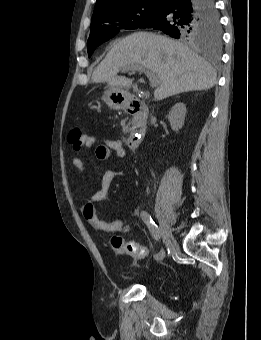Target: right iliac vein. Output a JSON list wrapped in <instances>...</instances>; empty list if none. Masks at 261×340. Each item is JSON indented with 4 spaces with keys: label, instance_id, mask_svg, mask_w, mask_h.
Returning <instances> with one entry per match:
<instances>
[{
    "label": "right iliac vein",
    "instance_id": "obj_1",
    "mask_svg": "<svg viewBox=\"0 0 261 340\" xmlns=\"http://www.w3.org/2000/svg\"><path fill=\"white\" fill-rule=\"evenodd\" d=\"M161 237L164 244H169L172 241L170 226L165 220L160 221Z\"/></svg>",
    "mask_w": 261,
    "mask_h": 340
}]
</instances>
